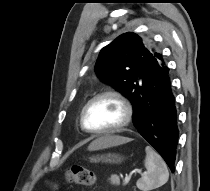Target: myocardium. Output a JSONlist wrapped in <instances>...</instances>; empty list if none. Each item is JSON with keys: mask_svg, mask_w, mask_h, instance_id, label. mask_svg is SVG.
Listing matches in <instances>:
<instances>
[{"mask_svg": "<svg viewBox=\"0 0 210 191\" xmlns=\"http://www.w3.org/2000/svg\"><path fill=\"white\" fill-rule=\"evenodd\" d=\"M105 97L114 98L122 105L124 110L123 120L119 124L111 128L98 129V130L90 129L86 125V113L94 102ZM132 116H133V109L130 101L122 93L114 90H108L95 95L85 104L80 114V125L85 132L90 134H95V135L110 134V133L119 132L125 127H127L132 120Z\"/></svg>", "mask_w": 210, "mask_h": 191, "instance_id": "f54148a6", "label": "myocardium"}]
</instances>
